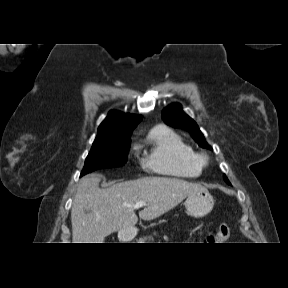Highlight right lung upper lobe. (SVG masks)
I'll return each instance as SVG.
<instances>
[{
    "mask_svg": "<svg viewBox=\"0 0 288 288\" xmlns=\"http://www.w3.org/2000/svg\"><path fill=\"white\" fill-rule=\"evenodd\" d=\"M141 119L142 116L140 115L110 111L105 120L100 124L95 141L119 135H128L130 137L132 130Z\"/></svg>",
    "mask_w": 288,
    "mask_h": 288,
    "instance_id": "1",
    "label": "right lung upper lobe"
}]
</instances>
